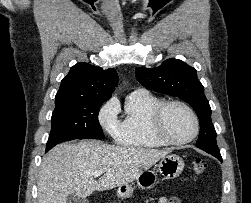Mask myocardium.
<instances>
[{
    "mask_svg": "<svg viewBox=\"0 0 251 203\" xmlns=\"http://www.w3.org/2000/svg\"><path fill=\"white\" fill-rule=\"evenodd\" d=\"M174 105L183 107L190 114L194 123L192 134L188 138L182 140L169 137L163 129L165 113L169 107ZM149 127L151 134L162 143L166 145H185L192 142L197 137L200 129V123L196 112L189 104L181 100H168L160 103L153 109L150 116Z\"/></svg>",
    "mask_w": 251,
    "mask_h": 203,
    "instance_id": "1",
    "label": "myocardium"
}]
</instances>
